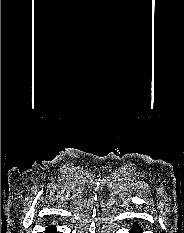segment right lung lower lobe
Returning a JSON list of instances; mask_svg holds the SVG:
<instances>
[{
	"instance_id": "right-lung-lower-lobe-1",
	"label": "right lung lower lobe",
	"mask_w": 184,
	"mask_h": 233,
	"mask_svg": "<svg viewBox=\"0 0 184 233\" xmlns=\"http://www.w3.org/2000/svg\"><path fill=\"white\" fill-rule=\"evenodd\" d=\"M45 233H58L57 231H56V228H54V227H48L47 229H46V231H45Z\"/></svg>"
}]
</instances>
